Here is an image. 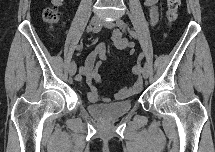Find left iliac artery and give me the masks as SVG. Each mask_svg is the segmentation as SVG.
Wrapping results in <instances>:
<instances>
[{
    "instance_id": "44dca946",
    "label": "left iliac artery",
    "mask_w": 215,
    "mask_h": 152,
    "mask_svg": "<svg viewBox=\"0 0 215 152\" xmlns=\"http://www.w3.org/2000/svg\"><path fill=\"white\" fill-rule=\"evenodd\" d=\"M116 24L118 27L128 30V32L130 33V35L133 38H135V39L138 38L137 34L133 30H131L123 20H117ZM138 57L141 59L142 57H144V54L140 53V55ZM145 65H147V64H145ZM138 72L140 74L143 72V67L141 65L138 67Z\"/></svg>"
}]
</instances>
